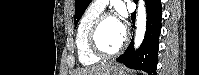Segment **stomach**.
I'll list each match as a JSON object with an SVG mask.
<instances>
[{"label":"stomach","instance_id":"obj_1","mask_svg":"<svg viewBox=\"0 0 199 75\" xmlns=\"http://www.w3.org/2000/svg\"><path fill=\"white\" fill-rule=\"evenodd\" d=\"M107 75H126V72L121 65L115 64L110 67Z\"/></svg>","mask_w":199,"mask_h":75}]
</instances>
